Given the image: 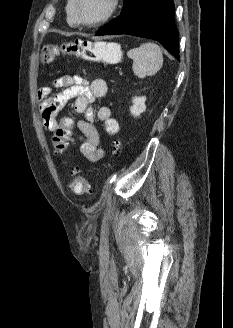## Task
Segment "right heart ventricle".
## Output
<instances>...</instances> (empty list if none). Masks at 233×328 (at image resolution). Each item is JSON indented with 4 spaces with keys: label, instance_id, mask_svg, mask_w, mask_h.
Instances as JSON below:
<instances>
[{
    "label": "right heart ventricle",
    "instance_id": "right-heart-ventricle-1",
    "mask_svg": "<svg viewBox=\"0 0 233 328\" xmlns=\"http://www.w3.org/2000/svg\"><path fill=\"white\" fill-rule=\"evenodd\" d=\"M73 5H74V0H68L67 4H66V8H65L67 22L70 26L78 25L77 21H76V18H75Z\"/></svg>",
    "mask_w": 233,
    "mask_h": 328
}]
</instances>
